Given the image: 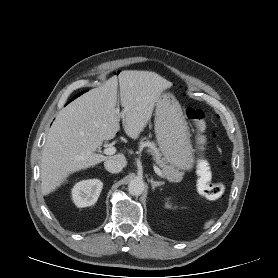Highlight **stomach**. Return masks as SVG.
Wrapping results in <instances>:
<instances>
[{
    "label": "stomach",
    "mask_w": 278,
    "mask_h": 278,
    "mask_svg": "<svg viewBox=\"0 0 278 278\" xmlns=\"http://www.w3.org/2000/svg\"><path fill=\"white\" fill-rule=\"evenodd\" d=\"M155 134L167 163L180 170H192L194 150L189 128L180 103L170 93H161L157 99Z\"/></svg>",
    "instance_id": "obj_1"
}]
</instances>
